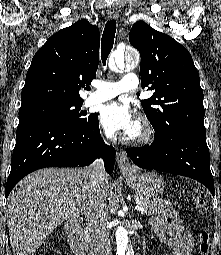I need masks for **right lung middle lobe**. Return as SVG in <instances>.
Returning a JSON list of instances; mask_svg holds the SVG:
<instances>
[{
  "mask_svg": "<svg viewBox=\"0 0 221 255\" xmlns=\"http://www.w3.org/2000/svg\"><path fill=\"white\" fill-rule=\"evenodd\" d=\"M81 102L75 103H44L20 109L19 117L35 116L51 118L71 127L87 125L94 115L85 117L86 113L80 111Z\"/></svg>",
  "mask_w": 221,
  "mask_h": 255,
  "instance_id": "1",
  "label": "right lung middle lobe"
}]
</instances>
